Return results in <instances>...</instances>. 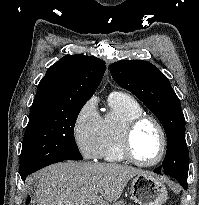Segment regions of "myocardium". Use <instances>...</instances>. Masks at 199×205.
I'll return each instance as SVG.
<instances>
[{
  "instance_id": "myocardium-1",
  "label": "myocardium",
  "mask_w": 199,
  "mask_h": 205,
  "mask_svg": "<svg viewBox=\"0 0 199 205\" xmlns=\"http://www.w3.org/2000/svg\"><path fill=\"white\" fill-rule=\"evenodd\" d=\"M146 122L152 123L157 128L160 138H161L160 153L158 157L154 161H151V162L140 161L134 155L133 147H132V140H133V135L135 131L140 125ZM120 147H121L122 154L127 161L137 166H140V167H152V166L159 164L164 159L166 152H167L168 140H167V135L164 130V127L162 126V124L160 123L158 119L150 115L141 114L139 116L132 118L126 123L122 131Z\"/></svg>"
}]
</instances>
